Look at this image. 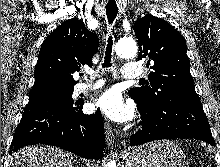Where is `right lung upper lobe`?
<instances>
[{
	"instance_id": "right-lung-upper-lobe-1",
	"label": "right lung upper lobe",
	"mask_w": 220,
	"mask_h": 167,
	"mask_svg": "<svg viewBox=\"0 0 220 167\" xmlns=\"http://www.w3.org/2000/svg\"><path fill=\"white\" fill-rule=\"evenodd\" d=\"M99 45L98 37L83 21L63 22L43 42L34 71L35 82L29 100L73 90V73L82 65L92 66Z\"/></svg>"
}]
</instances>
